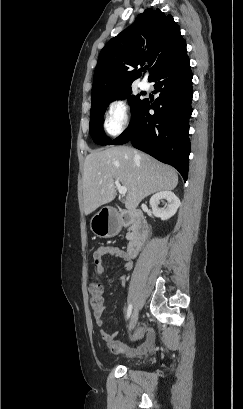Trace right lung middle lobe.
Masks as SVG:
<instances>
[{
  "label": "right lung middle lobe",
  "mask_w": 243,
  "mask_h": 409,
  "mask_svg": "<svg viewBox=\"0 0 243 409\" xmlns=\"http://www.w3.org/2000/svg\"><path fill=\"white\" fill-rule=\"evenodd\" d=\"M131 93L132 89L129 87L92 102L90 113V135L96 144L107 145L111 142V140L106 137L103 130V116L109 102L113 100H124L127 98L131 106L132 115L140 105L142 100H140L138 96L131 95Z\"/></svg>",
  "instance_id": "1"
}]
</instances>
